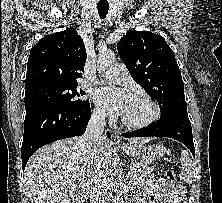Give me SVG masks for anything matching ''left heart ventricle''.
Wrapping results in <instances>:
<instances>
[{
    "mask_svg": "<svg viewBox=\"0 0 222 203\" xmlns=\"http://www.w3.org/2000/svg\"><path fill=\"white\" fill-rule=\"evenodd\" d=\"M152 113L151 106L144 99L130 96L122 117L131 122H142L147 120Z\"/></svg>",
    "mask_w": 222,
    "mask_h": 203,
    "instance_id": "b2bd125f",
    "label": "left heart ventricle"
}]
</instances>
